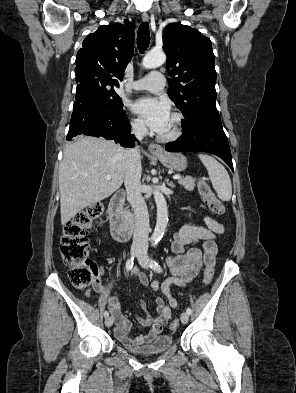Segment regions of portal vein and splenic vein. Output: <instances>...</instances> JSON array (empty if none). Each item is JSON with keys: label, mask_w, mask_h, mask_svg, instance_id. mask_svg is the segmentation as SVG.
I'll return each mask as SVG.
<instances>
[{"label": "portal vein and splenic vein", "mask_w": 296, "mask_h": 393, "mask_svg": "<svg viewBox=\"0 0 296 393\" xmlns=\"http://www.w3.org/2000/svg\"><path fill=\"white\" fill-rule=\"evenodd\" d=\"M110 179H111V175H107L106 176V180H110ZM173 179L174 180H179V179H181V176L180 175H174Z\"/></svg>", "instance_id": "18ae733b"}]
</instances>
